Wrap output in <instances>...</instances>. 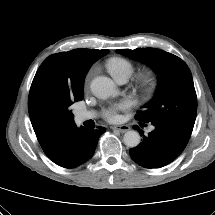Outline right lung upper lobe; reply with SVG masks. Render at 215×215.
<instances>
[{"instance_id":"obj_1","label":"right lung upper lobe","mask_w":215,"mask_h":215,"mask_svg":"<svg viewBox=\"0 0 215 215\" xmlns=\"http://www.w3.org/2000/svg\"><path fill=\"white\" fill-rule=\"evenodd\" d=\"M107 50L74 49L53 54L46 58L42 66H50L56 80L67 85L73 92H83L84 78L90 66ZM29 109V108H28ZM30 120L37 139L47 156L53 154L65 135L76 124L74 120L52 121L29 109Z\"/></svg>"}]
</instances>
